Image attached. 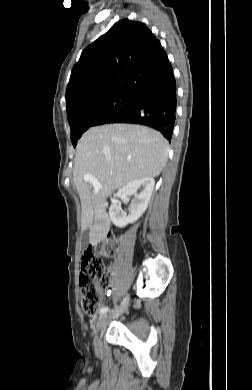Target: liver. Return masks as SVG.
Returning a JSON list of instances; mask_svg holds the SVG:
<instances>
[{
	"mask_svg": "<svg viewBox=\"0 0 252 390\" xmlns=\"http://www.w3.org/2000/svg\"><path fill=\"white\" fill-rule=\"evenodd\" d=\"M168 141L151 128L131 124L92 127L80 138L74 162L73 180L82 205V230L90 228L89 242L97 245L110 230L106 198L129 182L157 177L164 169ZM92 175L102 185L92 189L84 181Z\"/></svg>",
	"mask_w": 252,
	"mask_h": 390,
	"instance_id": "liver-1",
	"label": "liver"
}]
</instances>
